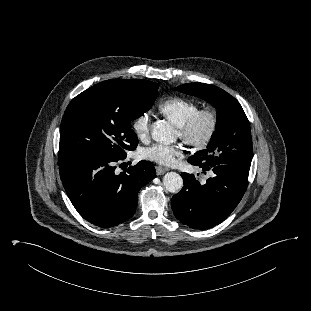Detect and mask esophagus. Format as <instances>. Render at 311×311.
<instances>
[{
    "label": "esophagus",
    "mask_w": 311,
    "mask_h": 311,
    "mask_svg": "<svg viewBox=\"0 0 311 311\" xmlns=\"http://www.w3.org/2000/svg\"><path fill=\"white\" fill-rule=\"evenodd\" d=\"M167 171H168V169L165 168V167H161V166H157L156 167V174L157 175H162V174H164Z\"/></svg>",
    "instance_id": "esophagus-1"
}]
</instances>
